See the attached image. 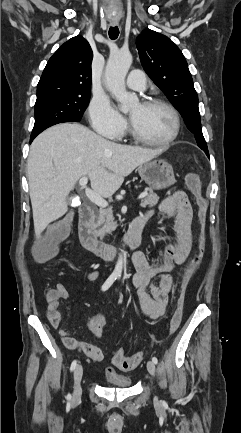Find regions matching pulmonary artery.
Wrapping results in <instances>:
<instances>
[{
    "instance_id": "e3ab8cb5",
    "label": "pulmonary artery",
    "mask_w": 241,
    "mask_h": 433,
    "mask_svg": "<svg viewBox=\"0 0 241 433\" xmlns=\"http://www.w3.org/2000/svg\"><path fill=\"white\" fill-rule=\"evenodd\" d=\"M126 83L132 90L143 91L146 88V77L142 71L133 70L130 72Z\"/></svg>"
}]
</instances>
